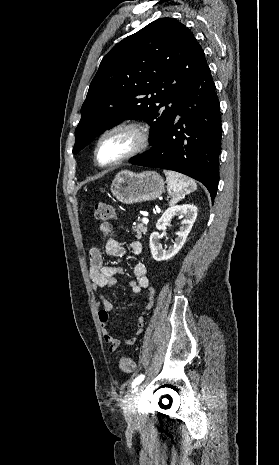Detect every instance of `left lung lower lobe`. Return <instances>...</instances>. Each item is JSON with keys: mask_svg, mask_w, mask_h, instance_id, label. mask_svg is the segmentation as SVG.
I'll list each match as a JSON object with an SVG mask.
<instances>
[{"mask_svg": "<svg viewBox=\"0 0 279 465\" xmlns=\"http://www.w3.org/2000/svg\"><path fill=\"white\" fill-rule=\"evenodd\" d=\"M219 108L204 57L168 129L148 151L130 159V163L188 175L206 186L213 201L219 180L222 135ZM177 115L181 119L176 120Z\"/></svg>", "mask_w": 279, "mask_h": 465, "instance_id": "left-lung-lower-lobe-1", "label": "left lung lower lobe"}]
</instances>
